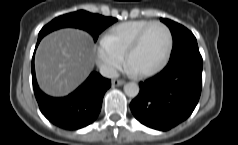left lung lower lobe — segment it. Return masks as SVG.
<instances>
[{
    "label": "left lung lower lobe",
    "mask_w": 238,
    "mask_h": 145,
    "mask_svg": "<svg viewBox=\"0 0 238 145\" xmlns=\"http://www.w3.org/2000/svg\"><path fill=\"white\" fill-rule=\"evenodd\" d=\"M201 86V54L199 49L187 50L171 58L159 74L140 82V92L130 108L142 124L167 131L192 114Z\"/></svg>",
    "instance_id": "obj_1"
}]
</instances>
